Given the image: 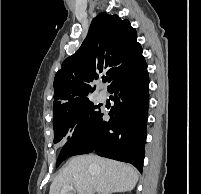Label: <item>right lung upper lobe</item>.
I'll return each instance as SVG.
<instances>
[{
	"mask_svg": "<svg viewBox=\"0 0 201 194\" xmlns=\"http://www.w3.org/2000/svg\"><path fill=\"white\" fill-rule=\"evenodd\" d=\"M143 58L137 32L117 15L100 13L78 51L66 58L54 79V119L72 112L94 91L90 83L106 73L110 86ZM109 86V87H110ZM108 87V88H109Z\"/></svg>",
	"mask_w": 201,
	"mask_h": 194,
	"instance_id": "cb5924a9",
	"label": "right lung upper lobe"
}]
</instances>
